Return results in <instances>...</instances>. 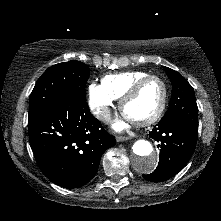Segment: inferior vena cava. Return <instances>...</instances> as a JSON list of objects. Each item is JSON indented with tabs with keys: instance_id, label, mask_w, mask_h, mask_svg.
Instances as JSON below:
<instances>
[{
	"instance_id": "obj_1",
	"label": "inferior vena cava",
	"mask_w": 221,
	"mask_h": 221,
	"mask_svg": "<svg viewBox=\"0 0 221 221\" xmlns=\"http://www.w3.org/2000/svg\"><path fill=\"white\" fill-rule=\"evenodd\" d=\"M110 116H111V114H110V110L108 108L102 109L97 114V117L100 120H103V121H109L110 120Z\"/></svg>"
}]
</instances>
